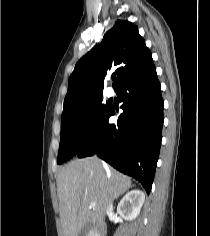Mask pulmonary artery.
I'll use <instances>...</instances> for the list:
<instances>
[{
	"instance_id": "e3ab8cb5",
	"label": "pulmonary artery",
	"mask_w": 210,
	"mask_h": 236,
	"mask_svg": "<svg viewBox=\"0 0 210 236\" xmlns=\"http://www.w3.org/2000/svg\"><path fill=\"white\" fill-rule=\"evenodd\" d=\"M106 94H107L108 97H112V96L114 95V91H113V89H111V88H107V90H106Z\"/></svg>"
}]
</instances>
